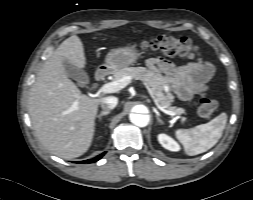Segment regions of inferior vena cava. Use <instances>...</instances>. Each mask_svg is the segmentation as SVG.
Listing matches in <instances>:
<instances>
[{"label": "inferior vena cava", "mask_w": 253, "mask_h": 200, "mask_svg": "<svg viewBox=\"0 0 253 200\" xmlns=\"http://www.w3.org/2000/svg\"><path fill=\"white\" fill-rule=\"evenodd\" d=\"M118 103L117 97L114 96H108L101 99V108L104 110H111L116 107Z\"/></svg>", "instance_id": "1"}]
</instances>
